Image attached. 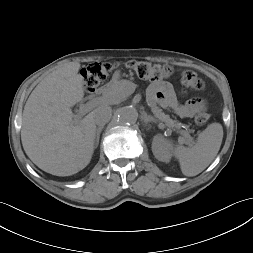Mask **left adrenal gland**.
<instances>
[{"instance_id": "left-adrenal-gland-1", "label": "left adrenal gland", "mask_w": 253, "mask_h": 253, "mask_svg": "<svg viewBox=\"0 0 253 253\" xmlns=\"http://www.w3.org/2000/svg\"><path fill=\"white\" fill-rule=\"evenodd\" d=\"M142 119H143V121H144V123H145L146 126H147L148 123H150V122H152V123H156V122H157L152 116L147 115V114H144V115L142 116Z\"/></svg>"}]
</instances>
